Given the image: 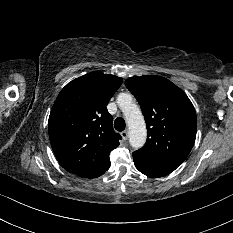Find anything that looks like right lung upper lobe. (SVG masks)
<instances>
[{
	"label": "right lung upper lobe",
	"mask_w": 233,
	"mask_h": 233,
	"mask_svg": "<svg viewBox=\"0 0 233 233\" xmlns=\"http://www.w3.org/2000/svg\"><path fill=\"white\" fill-rule=\"evenodd\" d=\"M121 84L120 77L91 72L60 91L48 131L55 156L68 172L96 178L109 169V154L121 136L113 130L106 105Z\"/></svg>",
	"instance_id": "obj_1"
}]
</instances>
